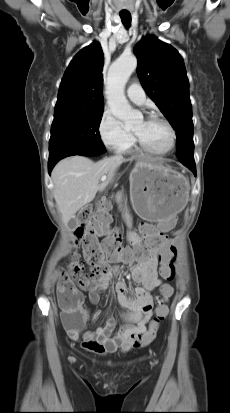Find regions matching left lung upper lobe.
Masks as SVG:
<instances>
[{"label": "left lung upper lobe", "mask_w": 230, "mask_h": 413, "mask_svg": "<svg viewBox=\"0 0 230 413\" xmlns=\"http://www.w3.org/2000/svg\"><path fill=\"white\" fill-rule=\"evenodd\" d=\"M134 53L145 92L176 131L179 161L195 162L192 105L183 58L175 48L154 36L143 38Z\"/></svg>", "instance_id": "1"}]
</instances>
